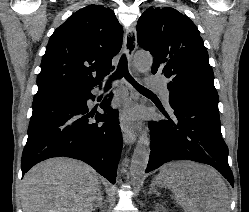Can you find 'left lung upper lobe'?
I'll list each match as a JSON object with an SVG mask.
<instances>
[{
  "instance_id": "left-lung-upper-lobe-1",
  "label": "left lung upper lobe",
  "mask_w": 249,
  "mask_h": 212,
  "mask_svg": "<svg viewBox=\"0 0 249 212\" xmlns=\"http://www.w3.org/2000/svg\"><path fill=\"white\" fill-rule=\"evenodd\" d=\"M138 44L153 59L152 74L169 79L170 92H185L218 102L214 73L195 24L173 8L150 7L137 24Z\"/></svg>"
}]
</instances>
